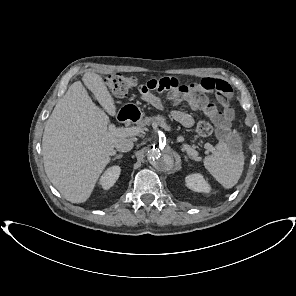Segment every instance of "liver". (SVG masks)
Masks as SVG:
<instances>
[{"label": "liver", "instance_id": "obj_1", "mask_svg": "<svg viewBox=\"0 0 296 296\" xmlns=\"http://www.w3.org/2000/svg\"><path fill=\"white\" fill-rule=\"evenodd\" d=\"M82 80L103 109L116 115L114 100L103 78L87 71ZM96 106L81 81L74 82L46 122L42 153L53 186L72 203H83L115 154V143L127 138L109 132V117Z\"/></svg>", "mask_w": 296, "mask_h": 296}]
</instances>
